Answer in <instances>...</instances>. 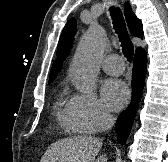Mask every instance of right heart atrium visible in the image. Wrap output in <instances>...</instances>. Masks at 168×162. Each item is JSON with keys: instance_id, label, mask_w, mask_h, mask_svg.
Instances as JSON below:
<instances>
[{"instance_id": "obj_1", "label": "right heart atrium", "mask_w": 168, "mask_h": 162, "mask_svg": "<svg viewBox=\"0 0 168 162\" xmlns=\"http://www.w3.org/2000/svg\"><path fill=\"white\" fill-rule=\"evenodd\" d=\"M70 121L86 133H98L112 120L95 94H75L67 105Z\"/></svg>"}]
</instances>
